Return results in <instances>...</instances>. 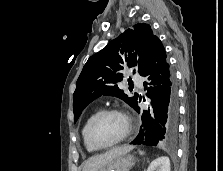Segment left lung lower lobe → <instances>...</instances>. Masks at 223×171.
I'll return each instance as SVG.
<instances>
[{"label": "left lung lower lobe", "mask_w": 223, "mask_h": 171, "mask_svg": "<svg viewBox=\"0 0 223 171\" xmlns=\"http://www.w3.org/2000/svg\"><path fill=\"white\" fill-rule=\"evenodd\" d=\"M166 57L164 46L158 41L143 74L148 76V82H144V86L152 107L151 110L141 111L137 103L134 108L142 113V126L131 144L171 145L176 140L179 117L177 85Z\"/></svg>", "instance_id": "0a47b994"}]
</instances>
